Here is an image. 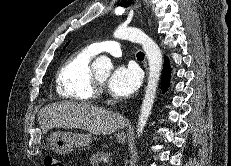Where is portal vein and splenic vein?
<instances>
[{
	"instance_id": "portal-vein-and-splenic-vein-1",
	"label": "portal vein and splenic vein",
	"mask_w": 231,
	"mask_h": 166,
	"mask_svg": "<svg viewBox=\"0 0 231 166\" xmlns=\"http://www.w3.org/2000/svg\"><path fill=\"white\" fill-rule=\"evenodd\" d=\"M108 161H109L108 158H104V159H103V162H104V163H108Z\"/></svg>"
}]
</instances>
